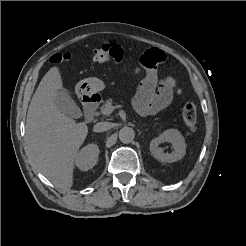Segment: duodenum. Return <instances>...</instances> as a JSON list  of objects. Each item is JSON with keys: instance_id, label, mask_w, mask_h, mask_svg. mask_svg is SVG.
<instances>
[{"instance_id": "1", "label": "duodenum", "mask_w": 246, "mask_h": 246, "mask_svg": "<svg viewBox=\"0 0 246 246\" xmlns=\"http://www.w3.org/2000/svg\"><path fill=\"white\" fill-rule=\"evenodd\" d=\"M98 94H90L83 96V109L84 116L87 121H91L94 117L98 102H99Z\"/></svg>"}]
</instances>
